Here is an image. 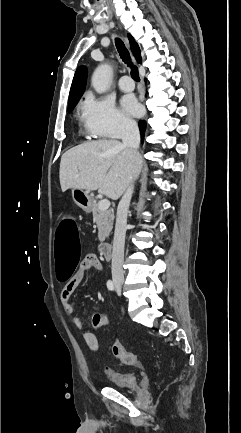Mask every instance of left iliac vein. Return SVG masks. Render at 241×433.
<instances>
[{
	"mask_svg": "<svg viewBox=\"0 0 241 433\" xmlns=\"http://www.w3.org/2000/svg\"><path fill=\"white\" fill-rule=\"evenodd\" d=\"M121 290L119 288H117V294H120Z\"/></svg>",
	"mask_w": 241,
	"mask_h": 433,
	"instance_id": "1",
	"label": "left iliac vein"
}]
</instances>
